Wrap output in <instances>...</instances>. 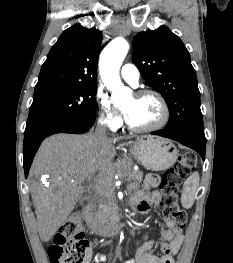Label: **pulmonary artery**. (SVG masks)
<instances>
[{"mask_svg": "<svg viewBox=\"0 0 233 263\" xmlns=\"http://www.w3.org/2000/svg\"><path fill=\"white\" fill-rule=\"evenodd\" d=\"M121 76L126 82L136 86L139 81L140 73L135 65L127 63L121 68Z\"/></svg>", "mask_w": 233, "mask_h": 263, "instance_id": "obj_1", "label": "pulmonary artery"}]
</instances>
